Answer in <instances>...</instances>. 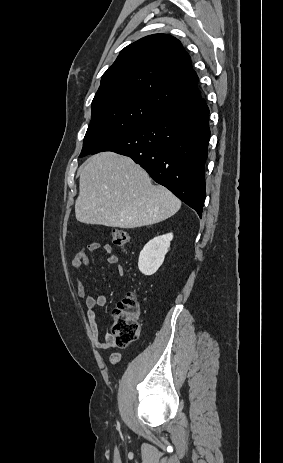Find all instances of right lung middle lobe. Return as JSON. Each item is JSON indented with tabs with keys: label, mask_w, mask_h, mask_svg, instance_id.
Wrapping results in <instances>:
<instances>
[{
	"label": "right lung middle lobe",
	"mask_w": 283,
	"mask_h": 463,
	"mask_svg": "<svg viewBox=\"0 0 283 463\" xmlns=\"http://www.w3.org/2000/svg\"><path fill=\"white\" fill-rule=\"evenodd\" d=\"M159 110L161 109L150 102L125 92H107L95 96L92 101L91 123L79 157L96 151Z\"/></svg>",
	"instance_id": "obj_1"
}]
</instances>
